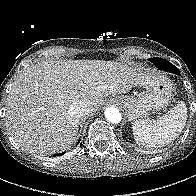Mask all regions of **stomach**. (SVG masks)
<instances>
[{"mask_svg":"<svg viewBox=\"0 0 196 196\" xmlns=\"http://www.w3.org/2000/svg\"><path fill=\"white\" fill-rule=\"evenodd\" d=\"M135 86L145 90L137 96H113L111 103L120 105L130 121L146 118L151 112L167 107L173 97V83L167 77L138 72Z\"/></svg>","mask_w":196,"mask_h":196,"instance_id":"obj_1","label":"stomach"}]
</instances>
